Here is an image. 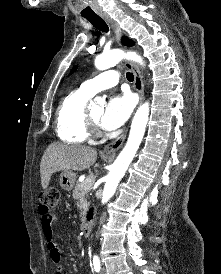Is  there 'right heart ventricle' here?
<instances>
[{
  "label": "right heart ventricle",
  "mask_w": 221,
  "mask_h": 274,
  "mask_svg": "<svg viewBox=\"0 0 221 274\" xmlns=\"http://www.w3.org/2000/svg\"><path fill=\"white\" fill-rule=\"evenodd\" d=\"M91 96L79 88L60 102L56 113V133L62 141L81 144L90 137L86 105Z\"/></svg>",
  "instance_id": "e07e8e85"
}]
</instances>
